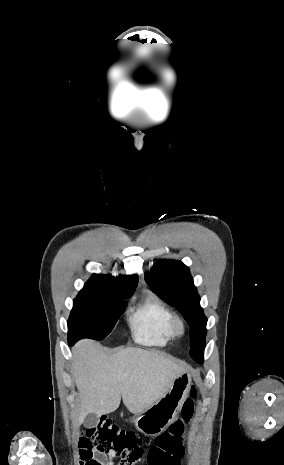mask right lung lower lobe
Segmentation results:
<instances>
[{
    "instance_id": "1",
    "label": "right lung lower lobe",
    "mask_w": 284,
    "mask_h": 465,
    "mask_svg": "<svg viewBox=\"0 0 284 465\" xmlns=\"http://www.w3.org/2000/svg\"><path fill=\"white\" fill-rule=\"evenodd\" d=\"M74 343H75V342H72V341H69V340H68V344H69L70 346L73 345Z\"/></svg>"
}]
</instances>
